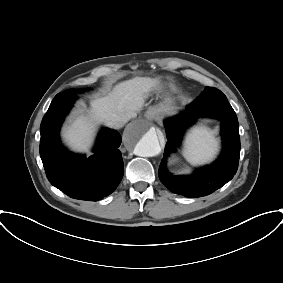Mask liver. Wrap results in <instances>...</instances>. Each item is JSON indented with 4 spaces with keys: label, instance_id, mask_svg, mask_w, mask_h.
I'll return each mask as SVG.
<instances>
[{
    "label": "liver",
    "instance_id": "obj_1",
    "mask_svg": "<svg viewBox=\"0 0 283 283\" xmlns=\"http://www.w3.org/2000/svg\"><path fill=\"white\" fill-rule=\"evenodd\" d=\"M156 80L135 77L115 86L107 96L91 102V115L76 117L63 130V137L75 151L87 152L92 142L95 121L108 125L111 121L128 122L144 106Z\"/></svg>",
    "mask_w": 283,
    "mask_h": 283
}]
</instances>
